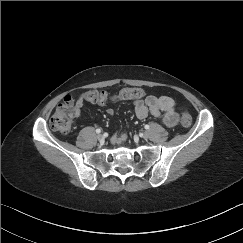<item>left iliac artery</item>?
Instances as JSON below:
<instances>
[{
	"instance_id": "obj_1",
	"label": "left iliac artery",
	"mask_w": 243,
	"mask_h": 243,
	"mask_svg": "<svg viewBox=\"0 0 243 243\" xmlns=\"http://www.w3.org/2000/svg\"><path fill=\"white\" fill-rule=\"evenodd\" d=\"M144 127H145V129H149L150 128V126L148 124H146Z\"/></svg>"
}]
</instances>
